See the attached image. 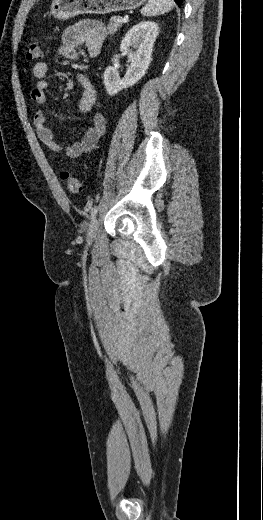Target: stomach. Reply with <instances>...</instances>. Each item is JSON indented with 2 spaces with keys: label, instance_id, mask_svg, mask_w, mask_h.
<instances>
[{
  "label": "stomach",
  "instance_id": "1",
  "mask_svg": "<svg viewBox=\"0 0 263 520\" xmlns=\"http://www.w3.org/2000/svg\"><path fill=\"white\" fill-rule=\"evenodd\" d=\"M145 0H53L50 14L67 20L80 14H107L140 7Z\"/></svg>",
  "mask_w": 263,
  "mask_h": 520
}]
</instances>
